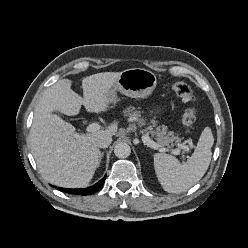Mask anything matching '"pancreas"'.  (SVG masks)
<instances>
[{
	"label": "pancreas",
	"instance_id": "obj_1",
	"mask_svg": "<svg viewBox=\"0 0 248 248\" xmlns=\"http://www.w3.org/2000/svg\"><path fill=\"white\" fill-rule=\"evenodd\" d=\"M124 116L130 117L131 120L137 121L139 117L141 116L140 111L137 110L134 106H129L125 110H123ZM156 127V121L151 120V125L148 126L145 131L147 134H150L152 137H154L157 140V144L160 147L168 146L170 144H180L181 138L178 137V135L174 132L167 131L166 126H157Z\"/></svg>",
	"mask_w": 248,
	"mask_h": 248
}]
</instances>
